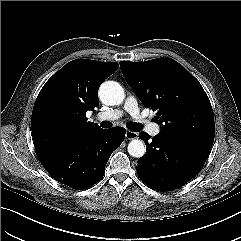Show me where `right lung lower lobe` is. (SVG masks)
Segmentation results:
<instances>
[{"label": "right lung lower lobe", "mask_w": 241, "mask_h": 241, "mask_svg": "<svg viewBox=\"0 0 241 241\" xmlns=\"http://www.w3.org/2000/svg\"><path fill=\"white\" fill-rule=\"evenodd\" d=\"M122 127L100 129L67 145L37 153L48 173L74 189H87L98 182L112 152L124 140Z\"/></svg>", "instance_id": "98d812e1"}]
</instances>
